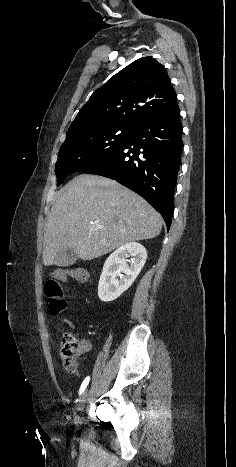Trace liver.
I'll use <instances>...</instances> for the list:
<instances>
[{"label": "liver", "instance_id": "liver-1", "mask_svg": "<svg viewBox=\"0 0 236 467\" xmlns=\"http://www.w3.org/2000/svg\"><path fill=\"white\" fill-rule=\"evenodd\" d=\"M162 218L141 196L114 180L82 174L55 195L45 223L43 264H56V254L73 248L92 260L127 243L152 239Z\"/></svg>", "mask_w": 236, "mask_h": 467}]
</instances>
